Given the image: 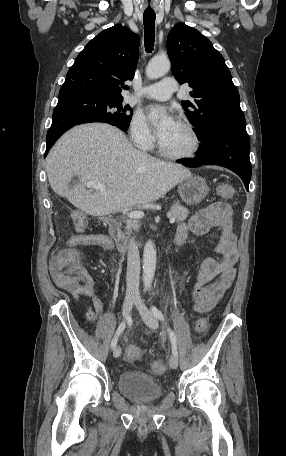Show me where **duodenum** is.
I'll return each mask as SVG.
<instances>
[{
  "mask_svg": "<svg viewBox=\"0 0 286 456\" xmlns=\"http://www.w3.org/2000/svg\"><path fill=\"white\" fill-rule=\"evenodd\" d=\"M107 228L108 234L111 242L122 252H126L128 250L129 244L125 240L119 223L114 220L110 219L107 221ZM186 237L182 234H176L174 237V243L176 246H181L184 244Z\"/></svg>",
  "mask_w": 286,
  "mask_h": 456,
  "instance_id": "410a0bca",
  "label": "duodenum"
}]
</instances>
